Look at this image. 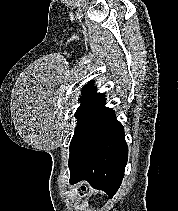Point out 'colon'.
<instances>
[{"label":"colon","instance_id":"colon-1","mask_svg":"<svg viewBox=\"0 0 178 211\" xmlns=\"http://www.w3.org/2000/svg\"><path fill=\"white\" fill-rule=\"evenodd\" d=\"M86 191H87L86 186H82V188H81V197L85 196Z\"/></svg>","mask_w":178,"mask_h":211}]
</instances>
